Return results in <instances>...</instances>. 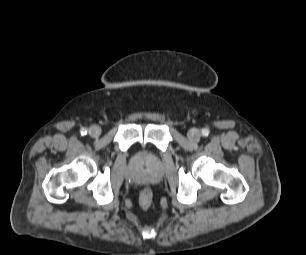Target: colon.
I'll return each mask as SVG.
<instances>
[{"label": "colon", "instance_id": "colon-1", "mask_svg": "<svg viewBox=\"0 0 306 255\" xmlns=\"http://www.w3.org/2000/svg\"><path fill=\"white\" fill-rule=\"evenodd\" d=\"M153 193L149 187H145L139 195L140 206L144 209L150 208L152 204Z\"/></svg>", "mask_w": 306, "mask_h": 255}]
</instances>
